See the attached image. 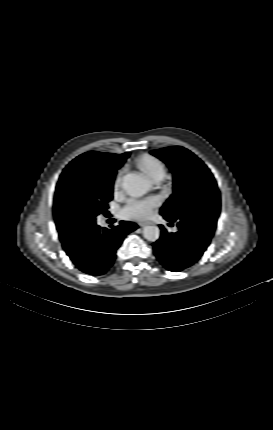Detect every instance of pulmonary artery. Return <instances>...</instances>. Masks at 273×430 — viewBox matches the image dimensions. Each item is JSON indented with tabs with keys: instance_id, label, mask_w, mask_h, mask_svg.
Wrapping results in <instances>:
<instances>
[{
	"instance_id": "e3ab8cb5",
	"label": "pulmonary artery",
	"mask_w": 273,
	"mask_h": 430,
	"mask_svg": "<svg viewBox=\"0 0 273 430\" xmlns=\"http://www.w3.org/2000/svg\"><path fill=\"white\" fill-rule=\"evenodd\" d=\"M163 177H158L157 179H155V182H159Z\"/></svg>"
}]
</instances>
